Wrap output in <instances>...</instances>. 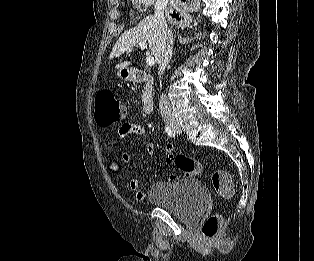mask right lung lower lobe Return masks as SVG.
Masks as SVG:
<instances>
[{"label": "right lung lower lobe", "mask_w": 314, "mask_h": 261, "mask_svg": "<svg viewBox=\"0 0 314 261\" xmlns=\"http://www.w3.org/2000/svg\"><path fill=\"white\" fill-rule=\"evenodd\" d=\"M183 1H185V0H183ZM172 17L178 19L179 16H178V14H173Z\"/></svg>", "instance_id": "98d812e1"}]
</instances>
